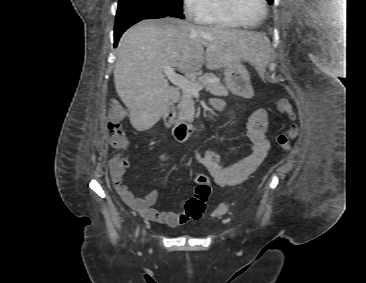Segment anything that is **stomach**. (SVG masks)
<instances>
[{
    "label": "stomach",
    "mask_w": 366,
    "mask_h": 283,
    "mask_svg": "<svg viewBox=\"0 0 366 283\" xmlns=\"http://www.w3.org/2000/svg\"><path fill=\"white\" fill-rule=\"evenodd\" d=\"M225 82L227 88L234 94H240L243 80L249 83L248 72L242 65L241 61H235L231 64H227L224 67Z\"/></svg>",
    "instance_id": "0dacf381"
}]
</instances>
